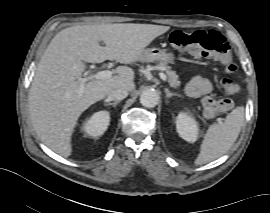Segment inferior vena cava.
Segmentation results:
<instances>
[{
    "instance_id": "obj_1",
    "label": "inferior vena cava",
    "mask_w": 270,
    "mask_h": 213,
    "mask_svg": "<svg viewBox=\"0 0 270 213\" xmlns=\"http://www.w3.org/2000/svg\"><path fill=\"white\" fill-rule=\"evenodd\" d=\"M128 96V91L122 88L114 89L108 94V101H119L123 100Z\"/></svg>"
}]
</instances>
